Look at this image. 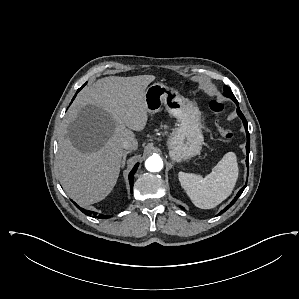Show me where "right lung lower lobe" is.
<instances>
[{"label": "right lung lower lobe", "mask_w": 299, "mask_h": 299, "mask_svg": "<svg viewBox=\"0 0 299 299\" xmlns=\"http://www.w3.org/2000/svg\"><path fill=\"white\" fill-rule=\"evenodd\" d=\"M83 86L77 91V93L83 88ZM75 96H74V98H75ZM74 98L72 99V101L74 100ZM138 165L139 164L137 163L134 166V168L132 169V171L130 172V174H129V182H130L131 189H132V186H133L134 173L136 172V170L138 168ZM74 204L76 205V203H74ZM77 208H79L81 211H83L88 216L97 217V218H100V219H107V218L110 217V216H106V215H102V214H97L96 212H93V211L84 210L83 208H80L79 206H77Z\"/></svg>", "instance_id": "1"}]
</instances>
